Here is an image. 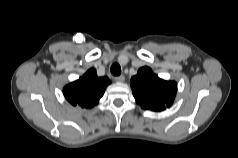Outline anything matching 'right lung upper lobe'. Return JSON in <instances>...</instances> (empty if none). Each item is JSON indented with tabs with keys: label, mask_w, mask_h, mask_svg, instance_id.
Listing matches in <instances>:
<instances>
[{
	"label": "right lung upper lobe",
	"mask_w": 238,
	"mask_h": 158,
	"mask_svg": "<svg viewBox=\"0 0 238 158\" xmlns=\"http://www.w3.org/2000/svg\"><path fill=\"white\" fill-rule=\"evenodd\" d=\"M109 84L107 77H98L94 69H89L78 80L66 85L63 93L73 106L91 108L98 104Z\"/></svg>",
	"instance_id": "obj_1"
}]
</instances>
